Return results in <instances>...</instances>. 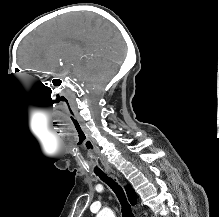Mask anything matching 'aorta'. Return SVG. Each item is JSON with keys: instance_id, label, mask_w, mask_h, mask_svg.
Masks as SVG:
<instances>
[{"instance_id": "obj_1", "label": "aorta", "mask_w": 219, "mask_h": 217, "mask_svg": "<svg viewBox=\"0 0 219 217\" xmlns=\"http://www.w3.org/2000/svg\"><path fill=\"white\" fill-rule=\"evenodd\" d=\"M97 217H115V214L110 209L105 208L97 214Z\"/></svg>"}]
</instances>
